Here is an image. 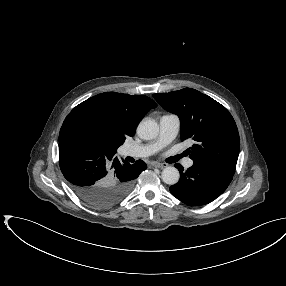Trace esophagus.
Returning <instances> with one entry per match:
<instances>
[{"instance_id":"esophagus-1","label":"esophagus","mask_w":286,"mask_h":286,"mask_svg":"<svg viewBox=\"0 0 286 286\" xmlns=\"http://www.w3.org/2000/svg\"><path fill=\"white\" fill-rule=\"evenodd\" d=\"M152 166L157 167V168H165V167H167V164L154 162V163H152Z\"/></svg>"}]
</instances>
